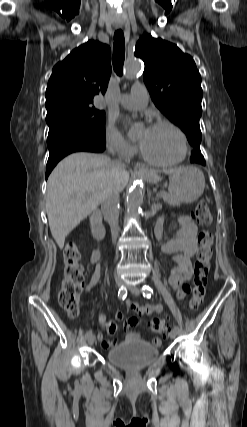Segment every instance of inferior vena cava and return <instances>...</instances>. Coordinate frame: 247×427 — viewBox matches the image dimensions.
<instances>
[{
	"mask_svg": "<svg viewBox=\"0 0 247 427\" xmlns=\"http://www.w3.org/2000/svg\"><path fill=\"white\" fill-rule=\"evenodd\" d=\"M114 163L116 165H122L118 160H114ZM101 210L104 218L110 225L112 239L115 242L118 237L119 230V193L107 194L101 202Z\"/></svg>",
	"mask_w": 247,
	"mask_h": 427,
	"instance_id": "1",
	"label": "inferior vena cava"
}]
</instances>
